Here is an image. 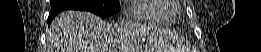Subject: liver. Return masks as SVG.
<instances>
[{
  "mask_svg": "<svg viewBox=\"0 0 261 52\" xmlns=\"http://www.w3.org/2000/svg\"><path fill=\"white\" fill-rule=\"evenodd\" d=\"M131 23H107L86 11L68 10L54 18L47 33V52H131Z\"/></svg>",
  "mask_w": 261,
  "mask_h": 52,
  "instance_id": "obj_1",
  "label": "liver"
}]
</instances>
